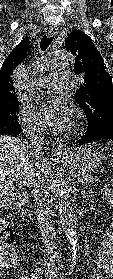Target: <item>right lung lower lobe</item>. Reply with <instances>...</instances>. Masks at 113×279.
<instances>
[{
	"label": "right lung lower lobe",
	"instance_id": "obj_1",
	"mask_svg": "<svg viewBox=\"0 0 113 279\" xmlns=\"http://www.w3.org/2000/svg\"><path fill=\"white\" fill-rule=\"evenodd\" d=\"M21 132H22V129H19V130L10 131V132H8V133H6V134H8V135H10V136L16 137V136H18Z\"/></svg>",
	"mask_w": 113,
	"mask_h": 279
}]
</instances>
